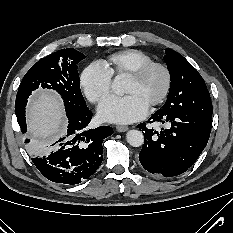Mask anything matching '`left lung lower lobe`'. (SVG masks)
<instances>
[{"label": "left lung lower lobe", "mask_w": 233, "mask_h": 233, "mask_svg": "<svg viewBox=\"0 0 233 233\" xmlns=\"http://www.w3.org/2000/svg\"><path fill=\"white\" fill-rule=\"evenodd\" d=\"M153 122L167 123L168 127L157 132L148 129L146 123L138 125L145 138L140 163L148 172L164 177L184 173L206 147L212 118L189 111L160 109L147 121Z\"/></svg>", "instance_id": "0a47b994"}]
</instances>
